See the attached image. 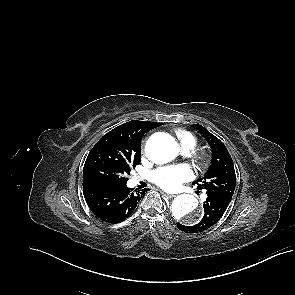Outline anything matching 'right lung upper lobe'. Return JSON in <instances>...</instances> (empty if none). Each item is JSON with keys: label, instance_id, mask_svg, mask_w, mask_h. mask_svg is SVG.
<instances>
[{"label": "right lung upper lobe", "instance_id": "obj_1", "mask_svg": "<svg viewBox=\"0 0 295 295\" xmlns=\"http://www.w3.org/2000/svg\"><path fill=\"white\" fill-rule=\"evenodd\" d=\"M161 125V123L156 122L132 120L114 128L104 136H110L120 139H131L134 141L135 146H138L140 148L143 135L149 130Z\"/></svg>", "mask_w": 295, "mask_h": 295}]
</instances>
